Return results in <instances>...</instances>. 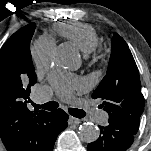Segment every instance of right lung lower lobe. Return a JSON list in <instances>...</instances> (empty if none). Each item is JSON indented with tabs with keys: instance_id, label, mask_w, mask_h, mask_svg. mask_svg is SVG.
I'll use <instances>...</instances> for the list:
<instances>
[{
	"instance_id": "obj_1",
	"label": "right lung lower lobe",
	"mask_w": 151,
	"mask_h": 151,
	"mask_svg": "<svg viewBox=\"0 0 151 151\" xmlns=\"http://www.w3.org/2000/svg\"><path fill=\"white\" fill-rule=\"evenodd\" d=\"M67 120L68 115L62 109L49 112V119L47 123V132L50 142L49 151H52L58 134L67 127Z\"/></svg>"
}]
</instances>
